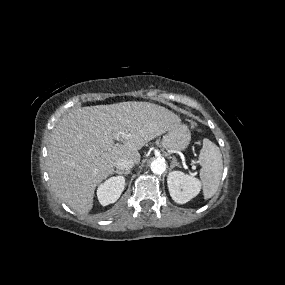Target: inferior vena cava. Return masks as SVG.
<instances>
[{"instance_id":"602c4592","label":"inferior vena cava","mask_w":285,"mask_h":285,"mask_svg":"<svg viewBox=\"0 0 285 285\" xmlns=\"http://www.w3.org/2000/svg\"><path fill=\"white\" fill-rule=\"evenodd\" d=\"M135 165L132 159H120L116 162V168L121 171H128Z\"/></svg>"}]
</instances>
